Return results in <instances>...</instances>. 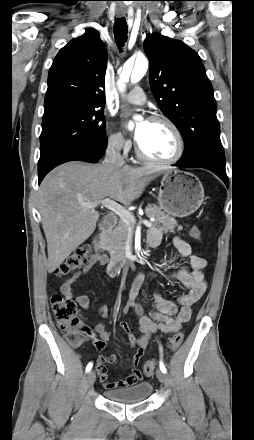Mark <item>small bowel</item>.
<instances>
[{
    "mask_svg": "<svg viewBox=\"0 0 254 440\" xmlns=\"http://www.w3.org/2000/svg\"><path fill=\"white\" fill-rule=\"evenodd\" d=\"M163 235L156 229L151 228L146 235V243L150 247H158L162 242ZM173 244L177 248L181 257L187 265L180 269L171 272L168 277L174 280L186 289V292L181 295L177 302L164 299L159 291L150 292L146 286V274L138 273L133 281L129 299L124 307V311L133 309L138 316V326L141 335L136 337L130 326L126 322L121 323V328L127 333L130 344L135 348V353L132 357V372L125 379L117 381H108L107 364H114L117 362V356L100 355L97 359L98 373L100 381L106 389L123 388L134 385L142 381V373L137 368L140 360L147 348L152 334L160 331L163 333H174L181 329L182 325L189 321L194 304L204 295L207 290V282L205 279L204 269L207 265L205 258L192 254L190 245L179 237L173 238ZM107 262V257L104 255L95 254L91 257L89 262L78 272L73 274L66 280L60 290L67 298H74V301L82 309H88L90 300L86 295L74 296V284L83 276L88 274L96 265H104ZM151 276H157V273L150 272ZM142 293V302H138V296ZM150 303L151 309L145 310V305ZM98 313L106 318L108 316V308L100 306ZM96 336H92V343L95 349L99 352L106 347V342L110 338V333L104 324H98L93 329Z\"/></svg>",
    "mask_w": 254,
    "mask_h": 440,
    "instance_id": "c3829d8e",
    "label": "small bowel"
}]
</instances>
